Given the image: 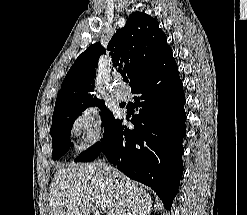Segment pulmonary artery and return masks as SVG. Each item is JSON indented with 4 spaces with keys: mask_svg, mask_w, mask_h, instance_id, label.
I'll return each mask as SVG.
<instances>
[{
    "mask_svg": "<svg viewBox=\"0 0 247 215\" xmlns=\"http://www.w3.org/2000/svg\"><path fill=\"white\" fill-rule=\"evenodd\" d=\"M114 96L118 101H125L127 100L128 94L123 88V84H120L118 89L114 92Z\"/></svg>",
    "mask_w": 247,
    "mask_h": 215,
    "instance_id": "pulmonary-artery-1",
    "label": "pulmonary artery"
}]
</instances>
